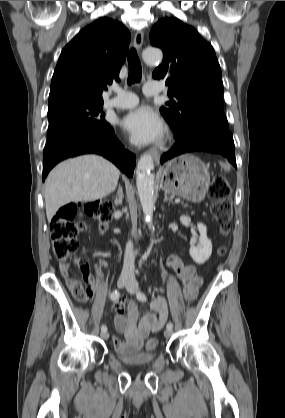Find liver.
I'll return each mask as SVG.
<instances>
[{
    "label": "liver",
    "mask_w": 285,
    "mask_h": 418,
    "mask_svg": "<svg viewBox=\"0 0 285 418\" xmlns=\"http://www.w3.org/2000/svg\"><path fill=\"white\" fill-rule=\"evenodd\" d=\"M119 176L115 165L97 155H83L58 164L45 181L48 221L68 203L106 197L117 187Z\"/></svg>",
    "instance_id": "obj_1"
}]
</instances>
